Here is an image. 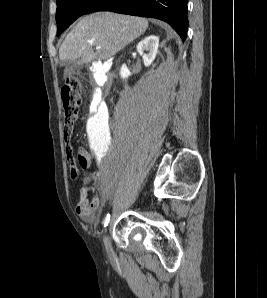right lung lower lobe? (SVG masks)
<instances>
[{"mask_svg": "<svg viewBox=\"0 0 267 298\" xmlns=\"http://www.w3.org/2000/svg\"><path fill=\"white\" fill-rule=\"evenodd\" d=\"M187 3L188 0H100L90 13L112 11L160 19L170 24L185 41L188 27Z\"/></svg>", "mask_w": 267, "mask_h": 298, "instance_id": "98d812e1", "label": "right lung lower lobe"}]
</instances>
